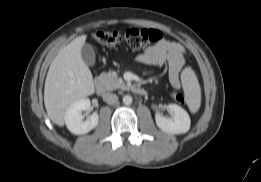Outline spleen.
<instances>
[{
  "mask_svg": "<svg viewBox=\"0 0 261 182\" xmlns=\"http://www.w3.org/2000/svg\"><path fill=\"white\" fill-rule=\"evenodd\" d=\"M187 105L192 113H196L201 104V90L198 79L190 67H186L181 74Z\"/></svg>",
  "mask_w": 261,
  "mask_h": 182,
  "instance_id": "1",
  "label": "spleen"
}]
</instances>
